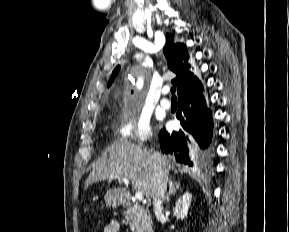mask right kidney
I'll return each instance as SVG.
<instances>
[{
  "label": "right kidney",
  "instance_id": "1",
  "mask_svg": "<svg viewBox=\"0 0 289 232\" xmlns=\"http://www.w3.org/2000/svg\"><path fill=\"white\" fill-rule=\"evenodd\" d=\"M192 199V194L186 192L182 197H180L174 207V215L178 219H184L187 216L188 208L190 207Z\"/></svg>",
  "mask_w": 289,
  "mask_h": 232
}]
</instances>
